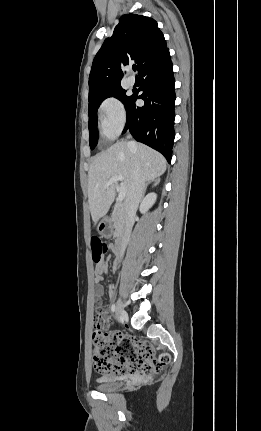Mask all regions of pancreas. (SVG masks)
I'll return each instance as SVG.
<instances>
[{"instance_id": "obj_1", "label": "pancreas", "mask_w": 261, "mask_h": 431, "mask_svg": "<svg viewBox=\"0 0 261 431\" xmlns=\"http://www.w3.org/2000/svg\"><path fill=\"white\" fill-rule=\"evenodd\" d=\"M112 222L115 228V235L122 231L124 226V210L120 203H117L112 213Z\"/></svg>"}]
</instances>
